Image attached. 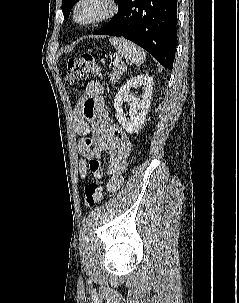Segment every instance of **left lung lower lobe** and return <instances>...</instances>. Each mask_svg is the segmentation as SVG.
Returning a JSON list of instances; mask_svg holds the SVG:
<instances>
[{
    "instance_id": "1",
    "label": "left lung lower lobe",
    "mask_w": 239,
    "mask_h": 303,
    "mask_svg": "<svg viewBox=\"0 0 239 303\" xmlns=\"http://www.w3.org/2000/svg\"><path fill=\"white\" fill-rule=\"evenodd\" d=\"M177 0H124L116 16L93 34L122 36L172 70L177 43Z\"/></svg>"
}]
</instances>
